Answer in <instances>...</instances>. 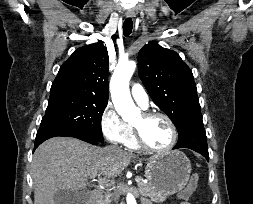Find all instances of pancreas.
<instances>
[{"label":"pancreas","instance_id":"obj_1","mask_svg":"<svg viewBox=\"0 0 253 204\" xmlns=\"http://www.w3.org/2000/svg\"><path fill=\"white\" fill-rule=\"evenodd\" d=\"M137 185L138 190L142 195L147 196L154 191L152 185L149 183H144L143 181H140L137 183ZM109 196L110 194H106L99 200L98 204H109Z\"/></svg>","mask_w":253,"mask_h":204}]
</instances>
